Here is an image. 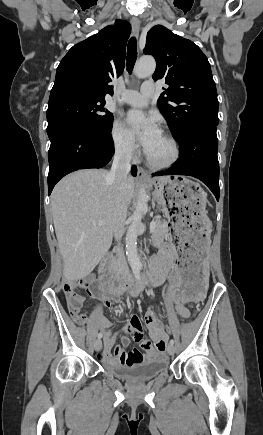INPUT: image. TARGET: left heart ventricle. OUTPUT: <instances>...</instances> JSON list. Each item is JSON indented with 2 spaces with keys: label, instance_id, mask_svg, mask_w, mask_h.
<instances>
[{
  "label": "left heart ventricle",
  "instance_id": "obj_1",
  "mask_svg": "<svg viewBox=\"0 0 263 435\" xmlns=\"http://www.w3.org/2000/svg\"><path fill=\"white\" fill-rule=\"evenodd\" d=\"M148 154L156 162H165L172 157L173 148L170 142L161 136Z\"/></svg>",
  "mask_w": 263,
  "mask_h": 435
}]
</instances>
